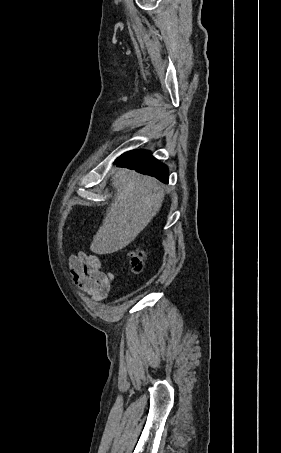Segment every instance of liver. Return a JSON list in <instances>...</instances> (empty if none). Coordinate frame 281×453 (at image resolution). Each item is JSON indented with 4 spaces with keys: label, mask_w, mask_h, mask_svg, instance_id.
Returning <instances> with one entry per match:
<instances>
[{
    "label": "liver",
    "mask_w": 281,
    "mask_h": 453,
    "mask_svg": "<svg viewBox=\"0 0 281 453\" xmlns=\"http://www.w3.org/2000/svg\"><path fill=\"white\" fill-rule=\"evenodd\" d=\"M112 180L116 196L90 245L96 255L115 253L132 243L159 212L165 196L156 178L135 170L115 168Z\"/></svg>",
    "instance_id": "obj_1"
}]
</instances>
